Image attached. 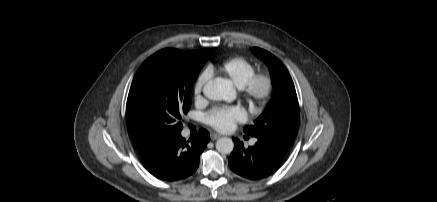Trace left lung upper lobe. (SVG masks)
Listing matches in <instances>:
<instances>
[{
  "mask_svg": "<svg viewBox=\"0 0 437 202\" xmlns=\"http://www.w3.org/2000/svg\"><path fill=\"white\" fill-rule=\"evenodd\" d=\"M252 52L268 66L274 94L255 123L244 132L273 146L281 153L289 150L298 126L299 104L292 78L283 63L271 53L253 48Z\"/></svg>",
  "mask_w": 437,
  "mask_h": 202,
  "instance_id": "1",
  "label": "left lung upper lobe"
}]
</instances>
